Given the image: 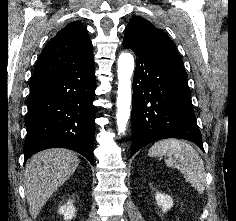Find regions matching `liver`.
I'll return each instance as SVG.
<instances>
[{
    "label": "liver",
    "mask_w": 236,
    "mask_h": 221,
    "mask_svg": "<svg viewBox=\"0 0 236 221\" xmlns=\"http://www.w3.org/2000/svg\"><path fill=\"white\" fill-rule=\"evenodd\" d=\"M79 165L76 153L51 148L30 159L24 174V188L29 212L36 218L52 194L75 172Z\"/></svg>",
    "instance_id": "obj_1"
}]
</instances>
